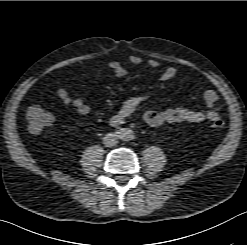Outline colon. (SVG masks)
I'll list each match as a JSON object with an SVG mask.
<instances>
[{"mask_svg":"<svg viewBox=\"0 0 247 245\" xmlns=\"http://www.w3.org/2000/svg\"><path fill=\"white\" fill-rule=\"evenodd\" d=\"M26 118L28 121V128L32 134H39L47 128L51 122V115L39 106H32L28 109ZM225 123L222 119L218 118L213 121L211 129L213 131H220L224 128Z\"/></svg>","mask_w":247,"mask_h":245,"instance_id":"5ec220e1","label":"colon"}]
</instances>
